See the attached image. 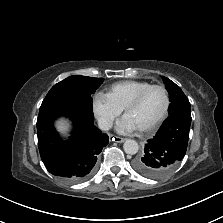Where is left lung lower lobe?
Masks as SVG:
<instances>
[{"mask_svg": "<svg viewBox=\"0 0 223 223\" xmlns=\"http://www.w3.org/2000/svg\"><path fill=\"white\" fill-rule=\"evenodd\" d=\"M191 116L171 114L156 135L147 140L144 153L133 161L134 169L151 179L168 176L186 153Z\"/></svg>", "mask_w": 223, "mask_h": 223, "instance_id": "1", "label": "left lung lower lobe"}]
</instances>
